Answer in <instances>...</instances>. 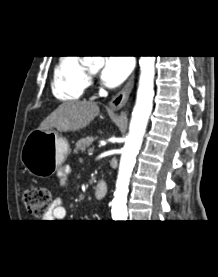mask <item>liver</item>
I'll list each match as a JSON object with an SVG mask.
<instances>
[{
  "mask_svg": "<svg viewBox=\"0 0 218 277\" xmlns=\"http://www.w3.org/2000/svg\"><path fill=\"white\" fill-rule=\"evenodd\" d=\"M99 114L95 102L68 101L58 106L42 121L39 130L56 128L60 132L77 131L87 125Z\"/></svg>",
  "mask_w": 218,
  "mask_h": 277,
  "instance_id": "liver-1",
  "label": "liver"
}]
</instances>
